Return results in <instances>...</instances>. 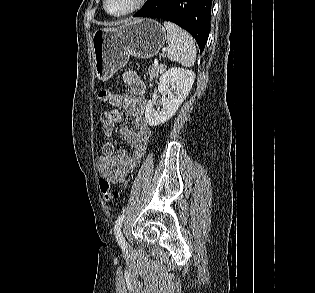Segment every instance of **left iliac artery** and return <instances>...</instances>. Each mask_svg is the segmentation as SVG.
I'll return each instance as SVG.
<instances>
[{
  "mask_svg": "<svg viewBox=\"0 0 315 293\" xmlns=\"http://www.w3.org/2000/svg\"><path fill=\"white\" fill-rule=\"evenodd\" d=\"M124 217H125V214L122 213L116 220L115 222V226H114V233H115V236H116V239L119 243V245L124 248L126 247V244H125V240L123 238V235L121 233V226H122V222L124 220Z\"/></svg>",
  "mask_w": 315,
  "mask_h": 293,
  "instance_id": "left-iliac-artery-1",
  "label": "left iliac artery"
}]
</instances>
